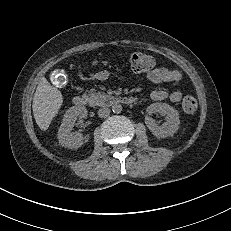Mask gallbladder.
Segmentation results:
<instances>
[{"mask_svg": "<svg viewBox=\"0 0 231 231\" xmlns=\"http://www.w3.org/2000/svg\"><path fill=\"white\" fill-rule=\"evenodd\" d=\"M50 81L56 88H63L68 83V76L62 69H55L50 74Z\"/></svg>", "mask_w": 231, "mask_h": 231, "instance_id": "1", "label": "gallbladder"}]
</instances>
